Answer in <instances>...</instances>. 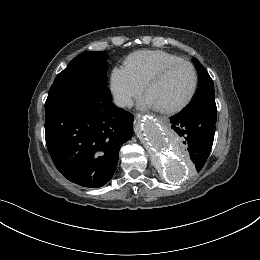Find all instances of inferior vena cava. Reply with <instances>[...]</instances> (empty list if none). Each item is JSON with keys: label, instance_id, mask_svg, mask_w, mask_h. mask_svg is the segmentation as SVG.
Listing matches in <instances>:
<instances>
[{"label": "inferior vena cava", "instance_id": "inferior-vena-cava-1", "mask_svg": "<svg viewBox=\"0 0 260 260\" xmlns=\"http://www.w3.org/2000/svg\"><path fill=\"white\" fill-rule=\"evenodd\" d=\"M113 102L118 107H126L133 105V100L131 99V97L121 93L115 94L113 96Z\"/></svg>", "mask_w": 260, "mask_h": 260}]
</instances>
